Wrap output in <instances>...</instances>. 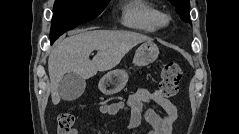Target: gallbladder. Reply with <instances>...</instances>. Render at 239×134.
<instances>
[{
  "label": "gallbladder",
  "mask_w": 239,
  "mask_h": 134,
  "mask_svg": "<svg viewBox=\"0 0 239 134\" xmlns=\"http://www.w3.org/2000/svg\"><path fill=\"white\" fill-rule=\"evenodd\" d=\"M86 87V81L75 73L66 74L60 81L58 92L60 97L66 101L79 98Z\"/></svg>",
  "instance_id": "1"
}]
</instances>
